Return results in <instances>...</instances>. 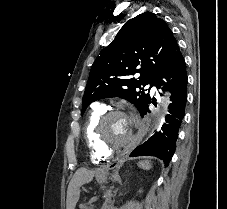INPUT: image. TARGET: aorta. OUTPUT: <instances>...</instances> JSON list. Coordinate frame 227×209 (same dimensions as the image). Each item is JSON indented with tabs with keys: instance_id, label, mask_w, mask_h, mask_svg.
<instances>
[{
	"instance_id": "aorta-1",
	"label": "aorta",
	"mask_w": 227,
	"mask_h": 209,
	"mask_svg": "<svg viewBox=\"0 0 227 209\" xmlns=\"http://www.w3.org/2000/svg\"><path fill=\"white\" fill-rule=\"evenodd\" d=\"M168 104H169V100L166 98L165 101L159 107L155 117H153V119L151 120L149 125L143 130V136L146 137L149 134H151V132L162 123V121L167 113ZM111 199H112V190H107L103 209L110 208Z\"/></svg>"
}]
</instances>
